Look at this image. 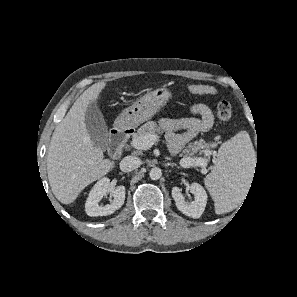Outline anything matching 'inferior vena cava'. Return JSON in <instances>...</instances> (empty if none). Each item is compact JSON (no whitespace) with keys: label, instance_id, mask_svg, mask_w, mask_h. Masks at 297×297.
Masks as SVG:
<instances>
[{"label":"inferior vena cava","instance_id":"602c4592","mask_svg":"<svg viewBox=\"0 0 297 297\" xmlns=\"http://www.w3.org/2000/svg\"><path fill=\"white\" fill-rule=\"evenodd\" d=\"M141 165V160L136 156H126L120 162V169L123 172H131Z\"/></svg>","mask_w":297,"mask_h":297}]
</instances>
